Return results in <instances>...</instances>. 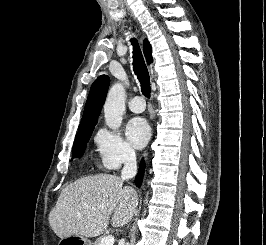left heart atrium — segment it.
<instances>
[{
	"mask_svg": "<svg viewBox=\"0 0 266 245\" xmlns=\"http://www.w3.org/2000/svg\"><path fill=\"white\" fill-rule=\"evenodd\" d=\"M125 134L128 142L134 148H142L150 137V129L143 118L137 117L126 124Z\"/></svg>",
	"mask_w": 266,
	"mask_h": 245,
	"instance_id": "39dd6f15",
	"label": "left heart atrium"
}]
</instances>
